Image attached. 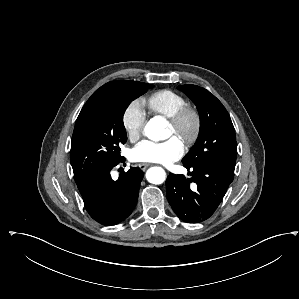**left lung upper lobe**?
<instances>
[{
  "label": "left lung upper lobe",
  "instance_id": "5c2ea615",
  "mask_svg": "<svg viewBox=\"0 0 299 299\" xmlns=\"http://www.w3.org/2000/svg\"><path fill=\"white\" fill-rule=\"evenodd\" d=\"M195 103L200 115L196 143L183 158L184 165L218 164L234 172L236 135L230 116L222 103L206 89L196 85L179 86Z\"/></svg>",
  "mask_w": 299,
  "mask_h": 299
}]
</instances>
